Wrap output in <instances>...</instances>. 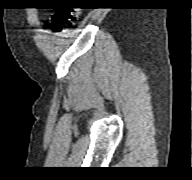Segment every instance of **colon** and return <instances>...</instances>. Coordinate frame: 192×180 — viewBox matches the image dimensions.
<instances>
[{"label":"colon","mask_w":192,"mask_h":180,"mask_svg":"<svg viewBox=\"0 0 192 180\" xmlns=\"http://www.w3.org/2000/svg\"><path fill=\"white\" fill-rule=\"evenodd\" d=\"M79 17L78 8H61L52 17V29L61 32L72 26Z\"/></svg>","instance_id":"5ec220e1"}]
</instances>
